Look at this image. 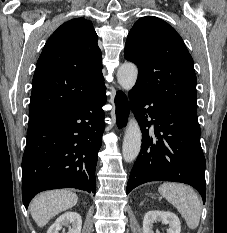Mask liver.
I'll use <instances>...</instances> for the list:
<instances>
[{
    "mask_svg": "<svg viewBox=\"0 0 227 233\" xmlns=\"http://www.w3.org/2000/svg\"><path fill=\"white\" fill-rule=\"evenodd\" d=\"M78 196L68 190H52L39 194L30 204L33 220L39 227L45 226L51 218L77 204Z\"/></svg>",
    "mask_w": 227,
    "mask_h": 233,
    "instance_id": "liver-1",
    "label": "liver"
}]
</instances>
